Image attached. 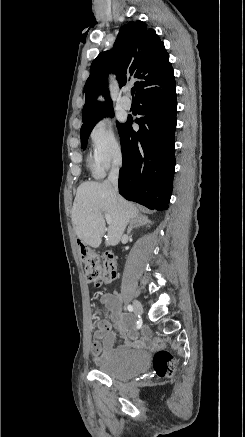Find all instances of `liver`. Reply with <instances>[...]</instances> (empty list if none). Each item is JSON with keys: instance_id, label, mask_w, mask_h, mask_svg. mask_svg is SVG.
<instances>
[{"instance_id": "liver-1", "label": "liver", "mask_w": 245, "mask_h": 437, "mask_svg": "<svg viewBox=\"0 0 245 437\" xmlns=\"http://www.w3.org/2000/svg\"><path fill=\"white\" fill-rule=\"evenodd\" d=\"M103 213L112 220L106 246L117 245L128 223L139 217L137 207L115 193L108 181L81 184L73 203L72 224L77 237L93 248L100 246L106 232Z\"/></svg>"}]
</instances>
